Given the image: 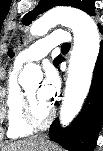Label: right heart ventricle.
<instances>
[{"label": "right heart ventricle", "instance_id": "1", "mask_svg": "<svg viewBox=\"0 0 103 151\" xmlns=\"http://www.w3.org/2000/svg\"><path fill=\"white\" fill-rule=\"evenodd\" d=\"M22 66L15 62L7 82L6 107L8 128L7 136L18 139L30 135L33 131L22 117V87L18 83L17 74Z\"/></svg>", "mask_w": 103, "mask_h": 151}]
</instances>
